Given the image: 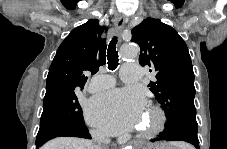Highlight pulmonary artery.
<instances>
[{"label": "pulmonary artery", "mask_w": 227, "mask_h": 149, "mask_svg": "<svg viewBox=\"0 0 227 149\" xmlns=\"http://www.w3.org/2000/svg\"><path fill=\"white\" fill-rule=\"evenodd\" d=\"M121 78L125 83H136L141 75V68L138 64L129 63L124 64L121 69ZM114 79L109 75H95L92 78L91 88L92 90H103L113 86Z\"/></svg>", "instance_id": "obj_1"}]
</instances>
